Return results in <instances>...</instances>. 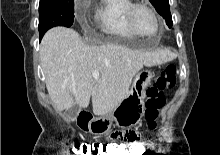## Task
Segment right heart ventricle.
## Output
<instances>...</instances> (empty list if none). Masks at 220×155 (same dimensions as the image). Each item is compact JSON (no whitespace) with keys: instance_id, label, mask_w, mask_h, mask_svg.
Wrapping results in <instances>:
<instances>
[{"instance_id":"obj_1","label":"right heart ventricle","mask_w":220,"mask_h":155,"mask_svg":"<svg viewBox=\"0 0 220 155\" xmlns=\"http://www.w3.org/2000/svg\"><path fill=\"white\" fill-rule=\"evenodd\" d=\"M131 3V0H99L94 9V24L100 32L112 38L136 37L126 19V11Z\"/></svg>"}]
</instances>
